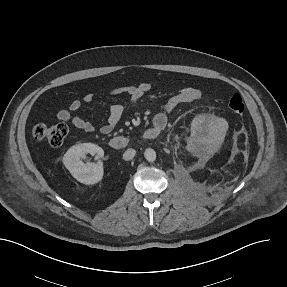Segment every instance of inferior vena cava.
Returning a JSON list of instances; mask_svg holds the SVG:
<instances>
[{"mask_svg":"<svg viewBox=\"0 0 287 287\" xmlns=\"http://www.w3.org/2000/svg\"><path fill=\"white\" fill-rule=\"evenodd\" d=\"M136 154V151L132 148L127 149L123 154V159L126 161L132 160Z\"/></svg>","mask_w":287,"mask_h":287,"instance_id":"inferior-vena-cava-1","label":"inferior vena cava"}]
</instances>
